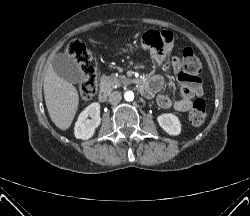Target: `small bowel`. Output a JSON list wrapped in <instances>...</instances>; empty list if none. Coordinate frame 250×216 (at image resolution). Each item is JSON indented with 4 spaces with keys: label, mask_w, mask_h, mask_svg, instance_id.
Masks as SVG:
<instances>
[{
    "label": "small bowel",
    "mask_w": 250,
    "mask_h": 216,
    "mask_svg": "<svg viewBox=\"0 0 250 216\" xmlns=\"http://www.w3.org/2000/svg\"><path fill=\"white\" fill-rule=\"evenodd\" d=\"M172 43L173 35L167 31H149L143 36L144 47L152 52L154 59L159 64L164 62L166 53L171 48ZM172 67L175 78L181 83L179 97L162 94L157 97V104L164 109L186 112L192 108L193 98L199 97L203 93L201 81L198 77L186 76L177 60L172 63ZM164 80V77L159 74L148 79L146 83L151 90L150 96L162 90Z\"/></svg>",
    "instance_id": "small-bowel-1"
}]
</instances>
